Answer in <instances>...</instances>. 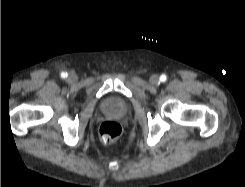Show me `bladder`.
I'll list each match as a JSON object with an SVG mask.
<instances>
[{
    "label": "bladder",
    "mask_w": 245,
    "mask_h": 187,
    "mask_svg": "<svg viewBox=\"0 0 245 187\" xmlns=\"http://www.w3.org/2000/svg\"><path fill=\"white\" fill-rule=\"evenodd\" d=\"M129 107V102L119 97H108L101 103V110L110 115H123L127 113Z\"/></svg>",
    "instance_id": "31cf9c89"
}]
</instances>
